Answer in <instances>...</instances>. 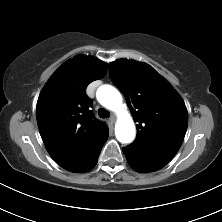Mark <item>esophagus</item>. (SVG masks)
<instances>
[{
	"label": "esophagus",
	"instance_id": "esophagus-1",
	"mask_svg": "<svg viewBox=\"0 0 222 222\" xmlns=\"http://www.w3.org/2000/svg\"><path fill=\"white\" fill-rule=\"evenodd\" d=\"M110 122H111V123H114V122H115V117H114V116H111V117H110Z\"/></svg>",
	"mask_w": 222,
	"mask_h": 222
}]
</instances>
